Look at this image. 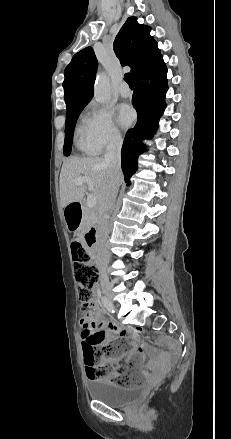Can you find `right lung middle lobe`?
I'll list each match as a JSON object with an SVG mask.
<instances>
[{
    "mask_svg": "<svg viewBox=\"0 0 231 439\" xmlns=\"http://www.w3.org/2000/svg\"><path fill=\"white\" fill-rule=\"evenodd\" d=\"M85 106L86 104L66 110L65 143L63 148L64 155L66 156L70 155L76 121Z\"/></svg>",
    "mask_w": 231,
    "mask_h": 439,
    "instance_id": "right-lung-middle-lobe-1",
    "label": "right lung middle lobe"
}]
</instances>
